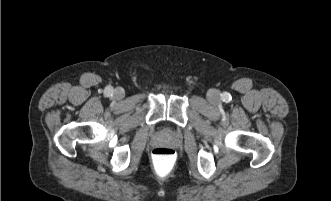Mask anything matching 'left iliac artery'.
<instances>
[{
  "instance_id": "44dca946",
  "label": "left iliac artery",
  "mask_w": 331,
  "mask_h": 201,
  "mask_svg": "<svg viewBox=\"0 0 331 201\" xmlns=\"http://www.w3.org/2000/svg\"><path fill=\"white\" fill-rule=\"evenodd\" d=\"M221 98H222L223 101H228L231 98V96L228 93H223L221 95Z\"/></svg>"
}]
</instances>
